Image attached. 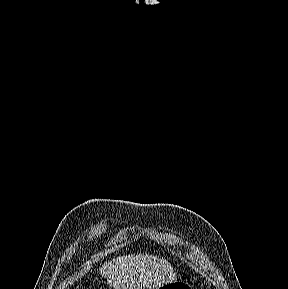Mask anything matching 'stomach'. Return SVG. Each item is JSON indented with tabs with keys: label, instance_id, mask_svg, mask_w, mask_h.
Segmentation results:
<instances>
[{
	"label": "stomach",
	"instance_id": "1",
	"mask_svg": "<svg viewBox=\"0 0 288 289\" xmlns=\"http://www.w3.org/2000/svg\"><path fill=\"white\" fill-rule=\"evenodd\" d=\"M157 289H191V286L185 282L174 281L168 284H164Z\"/></svg>",
	"mask_w": 288,
	"mask_h": 289
}]
</instances>
